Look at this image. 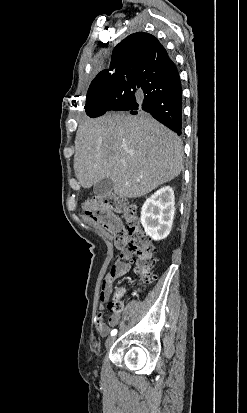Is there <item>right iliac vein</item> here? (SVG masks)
Segmentation results:
<instances>
[{
    "label": "right iliac vein",
    "mask_w": 247,
    "mask_h": 413,
    "mask_svg": "<svg viewBox=\"0 0 247 413\" xmlns=\"http://www.w3.org/2000/svg\"><path fill=\"white\" fill-rule=\"evenodd\" d=\"M114 341H115V337H111L107 339L106 344H105L106 348H109L114 343Z\"/></svg>",
    "instance_id": "obj_1"
}]
</instances>
